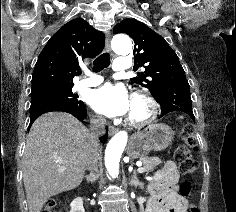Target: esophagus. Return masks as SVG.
I'll use <instances>...</instances> for the list:
<instances>
[{"instance_id":"1","label":"esophagus","mask_w":236,"mask_h":212,"mask_svg":"<svg viewBox=\"0 0 236 212\" xmlns=\"http://www.w3.org/2000/svg\"><path fill=\"white\" fill-rule=\"evenodd\" d=\"M110 40H111V35L110 32L106 33V38H105V48L108 52H111V46H110ZM118 131V128L114 126L109 127V134L113 135Z\"/></svg>"}]
</instances>
